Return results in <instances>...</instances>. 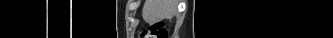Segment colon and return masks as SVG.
Masks as SVG:
<instances>
[{"label": "colon", "instance_id": "1", "mask_svg": "<svg viewBox=\"0 0 333 38\" xmlns=\"http://www.w3.org/2000/svg\"><path fill=\"white\" fill-rule=\"evenodd\" d=\"M142 38H168L167 30L163 21L152 22L147 29L141 33Z\"/></svg>", "mask_w": 333, "mask_h": 38}]
</instances>
